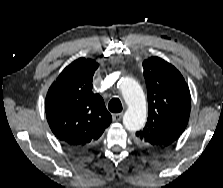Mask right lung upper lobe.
Returning a JSON list of instances; mask_svg holds the SVG:
<instances>
[{
  "label": "right lung upper lobe",
  "instance_id": "1",
  "mask_svg": "<svg viewBox=\"0 0 223 188\" xmlns=\"http://www.w3.org/2000/svg\"><path fill=\"white\" fill-rule=\"evenodd\" d=\"M99 64L79 58L67 66L48 90L45 111L54 135L66 145L90 147L112 122L101 96L92 92Z\"/></svg>",
  "mask_w": 223,
  "mask_h": 188
}]
</instances>
